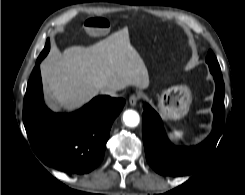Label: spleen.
<instances>
[{
	"instance_id": "1",
	"label": "spleen",
	"mask_w": 245,
	"mask_h": 195,
	"mask_svg": "<svg viewBox=\"0 0 245 195\" xmlns=\"http://www.w3.org/2000/svg\"><path fill=\"white\" fill-rule=\"evenodd\" d=\"M184 131L183 130H173V132L170 133V136L173 138V139H183L184 138Z\"/></svg>"
}]
</instances>
